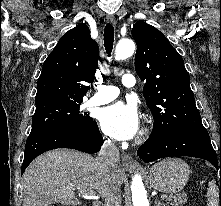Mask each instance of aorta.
I'll return each instance as SVG.
<instances>
[{
    "instance_id": "aorta-1",
    "label": "aorta",
    "mask_w": 221,
    "mask_h": 206,
    "mask_svg": "<svg viewBox=\"0 0 221 206\" xmlns=\"http://www.w3.org/2000/svg\"><path fill=\"white\" fill-rule=\"evenodd\" d=\"M135 43L132 39H121L116 45L115 59L123 60L133 55ZM133 206H149L146 190L140 175L136 174L131 184Z\"/></svg>"
}]
</instances>
